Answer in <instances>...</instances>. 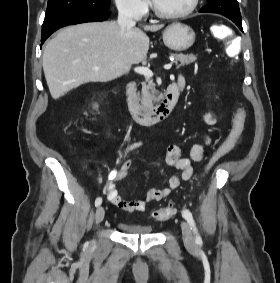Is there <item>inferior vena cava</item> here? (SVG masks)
I'll use <instances>...</instances> for the list:
<instances>
[{
	"label": "inferior vena cava",
	"mask_w": 280,
	"mask_h": 283,
	"mask_svg": "<svg viewBox=\"0 0 280 283\" xmlns=\"http://www.w3.org/2000/svg\"><path fill=\"white\" fill-rule=\"evenodd\" d=\"M117 24L122 33H124L127 27L135 26L136 22L133 20L132 13L126 6H120L118 8V21Z\"/></svg>",
	"instance_id": "inferior-vena-cava-1"
}]
</instances>
